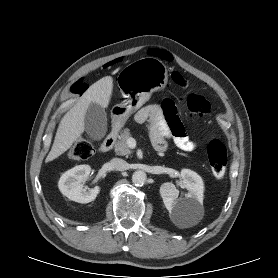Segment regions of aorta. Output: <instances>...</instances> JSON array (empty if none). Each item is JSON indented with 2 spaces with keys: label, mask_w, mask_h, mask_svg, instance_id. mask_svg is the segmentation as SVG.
<instances>
[{
  "label": "aorta",
  "mask_w": 278,
  "mask_h": 278,
  "mask_svg": "<svg viewBox=\"0 0 278 278\" xmlns=\"http://www.w3.org/2000/svg\"><path fill=\"white\" fill-rule=\"evenodd\" d=\"M147 179L146 173L142 170H137L132 175V182L136 186H142L145 184Z\"/></svg>",
  "instance_id": "762f6f07"
}]
</instances>
